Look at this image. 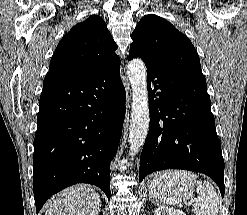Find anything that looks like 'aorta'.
<instances>
[{"mask_svg": "<svg viewBox=\"0 0 247 215\" xmlns=\"http://www.w3.org/2000/svg\"><path fill=\"white\" fill-rule=\"evenodd\" d=\"M127 75L132 88L129 155L133 157L144 145L150 122L144 62L139 58L132 59L127 66Z\"/></svg>", "mask_w": 247, "mask_h": 215, "instance_id": "762f6f07", "label": "aorta"}]
</instances>
